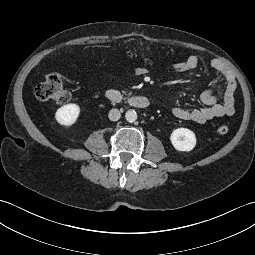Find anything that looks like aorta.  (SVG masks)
Returning a JSON list of instances; mask_svg holds the SVG:
<instances>
[{
  "instance_id": "1",
  "label": "aorta",
  "mask_w": 255,
  "mask_h": 255,
  "mask_svg": "<svg viewBox=\"0 0 255 255\" xmlns=\"http://www.w3.org/2000/svg\"><path fill=\"white\" fill-rule=\"evenodd\" d=\"M125 118L130 123L135 122L137 120V113H136V111L135 110H128L125 113Z\"/></svg>"
}]
</instances>
